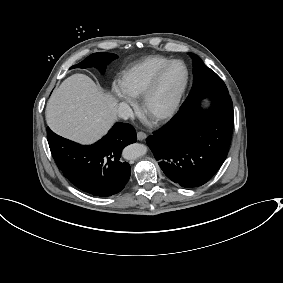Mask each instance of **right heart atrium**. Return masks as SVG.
Here are the masks:
<instances>
[{"label":"right heart atrium","mask_w":283,"mask_h":283,"mask_svg":"<svg viewBox=\"0 0 283 283\" xmlns=\"http://www.w3.org/2000/svg\"><path fill=\"white\" fill-rule=\"evenodd\" d=\"M109 96L126 109H131L134 106V101L127 95L119 81L112 82Z\"/></svg>","instance_id":"right-heart-atrium-1"}]
</instances>
